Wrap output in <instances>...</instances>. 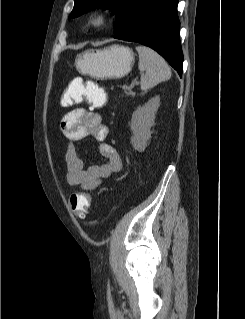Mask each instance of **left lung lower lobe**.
Returning a JSON list of instances; mask_svg holds the SVG:
<instances>
[{
  "instance_id": "obj_1",
  "label": "left lung lower lobe",
  "mask_w": 245,
  "mask_h": 319,
  "mask_svg": "<svg viewBox=\"0 0 245 319\" xmlns=\"http://www.w3.org/2000/svg\"><path fill=\"white\" fill-rule=\"evenodd\" d=\"M177 5L178 0H140L114 38L138 42L154 49L181 76L183 53Z\"/></svg>"
}]
</instances>
